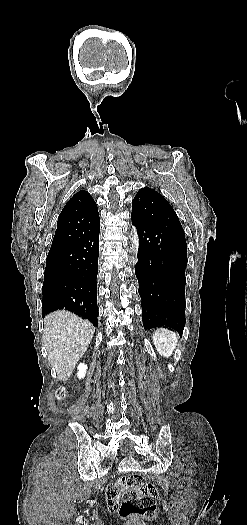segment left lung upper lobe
Wrapping results in <instances>:
<instances>
[{"label":"left lung upper lobe","instance_id":"1","mask_svg":"<svg viewBox=\"0 0 247 525\" xmlns=\"http://www.w3.org/2000/svg\"><path fill=\"white\" fill-rule=\"evenodd\" d=\"M131 218L156 224L185 240L184 230L173 208L154 189L144 187L138 191L133 199Z\"/></svg>","mask_w":247,"mask_h":525}]
</instances>
